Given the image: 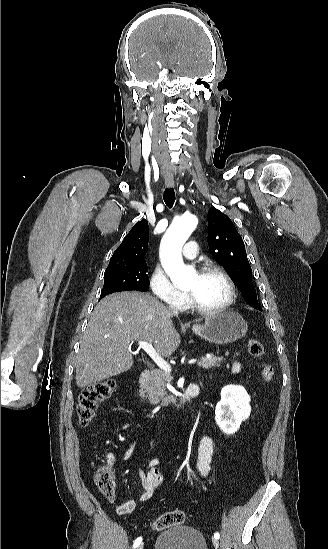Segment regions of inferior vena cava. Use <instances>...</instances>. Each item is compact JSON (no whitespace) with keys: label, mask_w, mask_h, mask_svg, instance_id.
<instances>
[{"label":"inferior vena cava","mask_w":328,"mask_h":549,"mask_svg":"<svg viewBox=\"0 0 328 549\" xmlns=\"http://www.w3.org/2000/svg\"><path fill=\"white\" fill-rule=\"evenodd\" d=\"M170 313H172V315H177L178 311L175 305H170Z\"/></svg>","instance_id":"inferior-vena-cava-1"}]
</instances>
